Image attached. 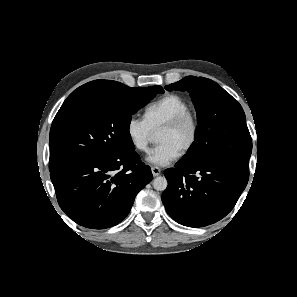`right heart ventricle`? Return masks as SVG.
Masks as SVG:
<instances>
[{
	"mask_svg": "<svg viewBox=\"0 0 297 297\" xmlns=\"http://www.w3.org/2000/svg\"><path fill=\"white\" fill-rule=\"evenodd\" d=\"M189 110V103L178 94L168 93L148 104L144 118L152 131H158L166 122L179 113Z\"/></svg>",
	"mask_w": 297,
	"mask_h": 297,
	"instance_id": "obj_1",
	"label": "right heart ventricle"
}]
</instances>
